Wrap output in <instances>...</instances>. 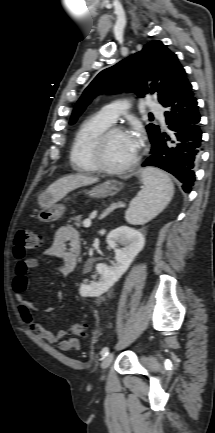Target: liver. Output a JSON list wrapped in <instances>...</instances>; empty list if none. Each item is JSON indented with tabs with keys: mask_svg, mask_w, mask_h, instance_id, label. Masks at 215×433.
<instances>
[{
	"mask_svg": "<svg viewBox=\"0 0 215 433\" xmlns=\"http://www.w3.org/2000/svg\"><path fill=\"white\" fill-rule=\"evenodd\" d=\"M98 182L97 177L82 174L67 175L52 183L48 188L55 201L62 199L72 190Z\"/></svg>",
	"mask_w": 215,
	"mask_h": 433,
	"instance_id": "6515ba94",
	"label": "liver"
}]
</instances>
